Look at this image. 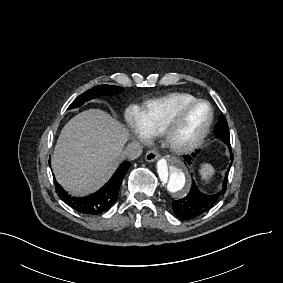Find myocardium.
<instances>
[{
  "mask_svg": "<svg viewBox=\"0 0 283 283\" xmlns=\"http://www.w3.org/2000/svg\"><path fill=\"white\" fill-rule=\"evenodd\" d=\"M177 101L171 98H165L161 102L162 110L159 116V131H158V136L162 140V142L166 145V147L173 153L178 154V155H186L191 152H193L195 149H197L207 138L211 127L214 122V110L212 105L203 99H195L188 101L182 105V109H188L192 106H197V105H204L206 106L208 110V116L207 119L200 129V131L196 134V136L189 141L186 144L182 145H177L174 144L171 140V132L168 131L167 126H168V117H167V111L170 108V106L176 104Z\"/></svg>",
  "mask_w": 283,
  "mask_h": 283,
  "instance_id": "f54148a6",
  "label": "myocardium"
}]
</instances>
